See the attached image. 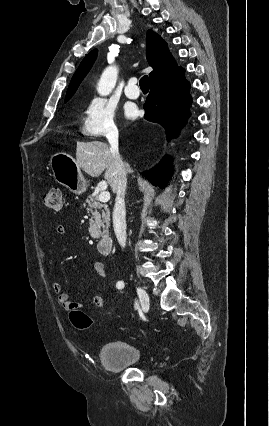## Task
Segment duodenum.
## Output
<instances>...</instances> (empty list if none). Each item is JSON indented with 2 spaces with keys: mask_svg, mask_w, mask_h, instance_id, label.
Segmentation results:
<instances>
[{
  "mask_svg": "<svg viewBox=\"0 0 269 426\" xmlns=\"http://www.w3.org/2000/svg\"><path fill=\"white\" fill-rule=\"evenodd\" d=\"M97 247L100 254L109 255L113 247L112 236L108 234L101 236V238L98 240Z\"/></svg>",
  "mask_w": 269,
  "mask_h": 426,
  "instance_id": "obj_1",
  "label": "duodenum"
}]
</instances>
